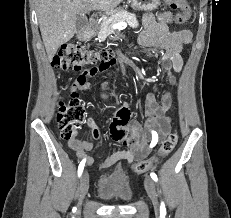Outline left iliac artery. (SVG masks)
Returning <instances> with one entry per match:
<instances>
[{
	"label": "left iliac artery",
	"instance_id": "obj_1",
	"mask_svg": "<svg viewBox=\"0 0 231 218\" xmlns=\"http://www.w3.org/2000/svg\"><path fill=\"white\" fill-rule=\"evenodd\" d=\"M157 142H158V134L156 131H152V141L150 143V148H153L157 144ZM150 176L155 182H157L158 178H157V175L155 173H151ZM160 212L162 214L166 213L165 205L163 202H161Z\"/></svg>",
	"mask_w": 231,
	"mask_h": 218
}]
</instances>
